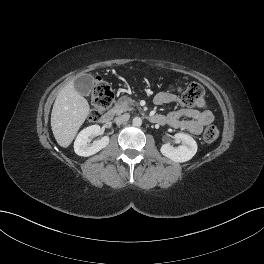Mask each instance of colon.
<instances>
[{
    "instance_id": "5ec220e1",
    "label": "colon",
    "mask_w": 264,
    "mask_h": 264,
    "mask_svg": "<svg viewBox=\"0 0 264 264\" xmlns=\"http://www.w3.org/2000/svg\"><path fill=\"white\" fill-rule=\"evenodd\" d=\"M172 88L181 94L182 102L187 106L203 107L205 105L204 89L198 83L176 82ZM114 92L110 85L101 77L95 79L91 103L92 108L89 118L96 121L101 118L103 112L107 110L114 102ZM219 136V130L216 126H208L204 133L203 139L208 142H214Z\"/></svg>"
}]
</instances>
